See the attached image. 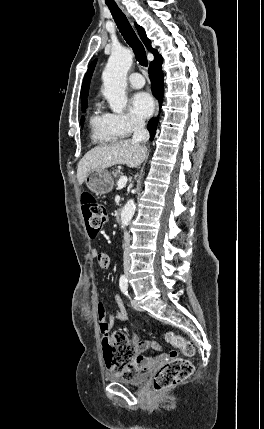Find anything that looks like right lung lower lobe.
I'll return each mask as SVG.
<instances>
[{
  "label": "right lung lower lobe",
  "instance_id": "1",
  "mask_svg": "<svg viewBox=\"0 0 264 429\" xmlns=\"http://www.w3.org/2000/svg\"><path fill=\"white\" fill-rule=\"evenodd\" d=\"M162 57L159 55L151 62L149 67V77L151 79V89L153 94L159 100V104H162L163 92H164V83H163V73H162ZM158 123V117L152 119L148 123V130L150 132V140H153L156 128Z\"/></svg>",
  "mask_w": 264,
  "mask_h": 429
}]
</instances>
